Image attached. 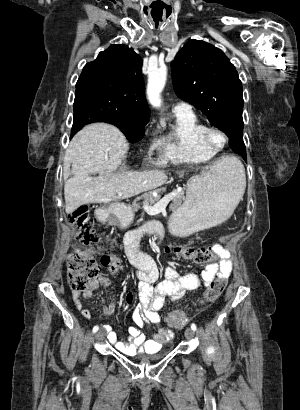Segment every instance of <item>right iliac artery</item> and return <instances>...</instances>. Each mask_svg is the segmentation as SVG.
Here are the masks:
<instances>
[{"mask_svg": "<svg viewBox=\"0 0 300 410\" xmlns=\"http://www.w3.org/2000/svg\"><path fill=\"white\" fill-rule=\"evenodd\" d=\"M98 329H99V327H98V326H94V327H93V330H92V331H93V333H96V332L98 331Z\"/></svg>", "mask_w": 300, "mask_h": 410, "instance_id": "82829eb1", "label": "right iliac artery"}]
</instances>
